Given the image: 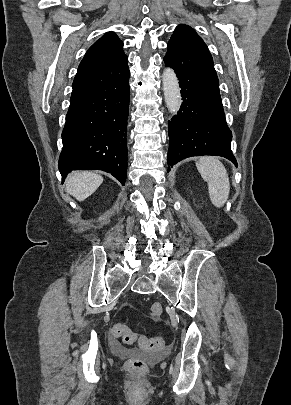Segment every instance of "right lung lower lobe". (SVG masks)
Wrapping results in <instances>:
<instances>
[{
    "label": "right lung lower lobe",
    "instance_id": "right-lung-lower-lobe-1",
    "mask_svg": "<svg viewBox=\"0 0 291 405\" xmlns=\"http://www.w3.org/2000/svg\"><path fill=\"white\" fill-rule=\"evenodd\" d=\"M129 76L71 97L58 161L63 180L72 170H103L125 185Z\"/></svg>",
    "mask_w": 291,
    "mask_h": 405
}]
</instances>
